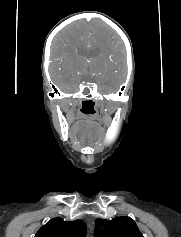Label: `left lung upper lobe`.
I'll list each match as a JSON object with an SVG mask.
<instances>
[{
	"label": "left lung upper lobe",
	"instance_id": "1",
	"mask_svg": "<svg viewBox=\"0 0 181 237\" xmlns=\"http://www.w3.org/2000/svg\"><path fill=\"white\" fill-rule=\"evenodd\" d=\"M94 237H143L135 221L130 217H116L112 220L98 218Z\"/></svg>",
	"mask_w": 181,
	"mask_h": 237
}]
</instances>
